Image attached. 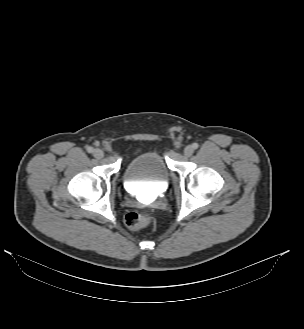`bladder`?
Here are the masks:
<instances>
[{"mask_svg": "<svg viewBox=\"0 0 304 329\" xmlns=\"http://www.w3.org/2000/svg\"><path fill=\"white\" fill-rule=\"evenodd\" d=\"M126 185L150 183L165 186L169 180V168L164 158L155 151L137 154L127 162L122 171Z\"/></svg>", "mask_w": 304, "mask_h": 329, "instance_id": "1", "label": "bladder"}]
</instances>
